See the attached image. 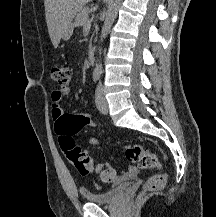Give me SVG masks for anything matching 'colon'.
Masks as SVG:
<instances>
[{
    "label": "colon",
    "instance_id": "5ec220e1",
    "mask_svg": "<svg viewBox=\"0 0 216 217\" xmlns=\"http://www.w3.org/2000/svg\"><path fill=\"white\" fill-rule=\"evenodd\" d=\"M53 79L62 86H68L71 71L65 65H56L51 70ZM98 120L88 114L68 115L57 125L59 145L68 162L82 175L98 171L102 182L111 183L116 177V169L104 164L94 166L89 154L78 146L73 136L86 126H97ZM126 158L140 169H152L160 166L158 157L139 143H131L125 149ZM166 182L164 173L154 174L146 181L141 196L160 190Z\"/></svg>",
    "mask_w": 216,
    "mask_h": 217
}]
</instances>
